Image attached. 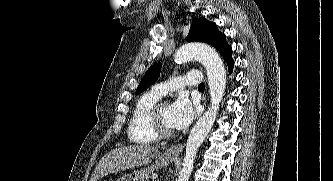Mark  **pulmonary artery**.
Returning a JSON list of instances; mask_svg holds the SVG:
<instances>
[{"instance_id":"pulmonary-artery-1","label":"pulmonary artery","mask_w":333,"mask_h":181,"mask_svg":"<svg viewBox=\"0 0 333 181\" xmlns=\"http://www.w3.org/2000/svg\"><path fill=\"white\" fill-rule=\"evenodd\" d=\"M201 81L202 74L200 72H189L183 76L173 78L168 82H163L155 85L152 91L162 97L169 91L182 86H197L201 83Z\"/></svg>"}]
</instances>
